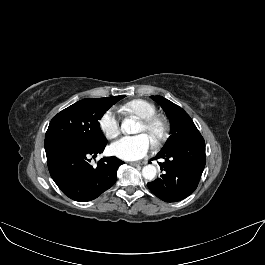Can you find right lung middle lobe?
Masks as SVG:
<instances>
[{"instance_id":"right-lung-middle-lobe-1","label":"right lung middle lobe","mask_w":265,"mask_h":265,"mask_svg":"<svg viewBox=\"0 0 265 265\" xmlns=\"http://www.w3.org/2000/svg\"><path fill=\"white\" fill-rule=\"evenodd\" d=\"M118 101L109 97L80 100L53 117L45 137L68 136L93 145L105 143L99 120Z\"/></svg>"}]
</instances>
